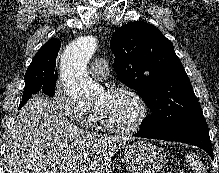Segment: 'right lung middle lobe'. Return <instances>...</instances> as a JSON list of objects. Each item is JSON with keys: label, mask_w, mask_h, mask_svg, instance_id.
<instances>
[{"label": "right lung middle lobe", "mask_w": 219, "mask_h": 173, "mask_svg": "<svg viewBox=\"0 0 219 173\" xmlns=\"http://www.w3.org/2000/svg\"><path fill=\"white\" fill-rule=\"evenodd\" d=\"M57 77L52 71L44 70L36 65H29L24 76L25 87L22 98L29 97L38 91H42L48 96H54Z\"/></svg>", "instance_id": "obj_1"}]
</instances>
